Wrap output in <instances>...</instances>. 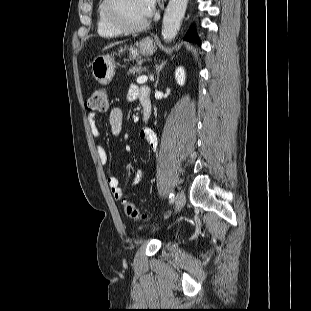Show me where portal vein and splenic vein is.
Wrapping results in <instances>:
<instances>
[{
	"instance_id": "18ae733b",
	"label": "portal vein and splenic vein",
	"mask_w": 311,
	"mask_h": 311,
	"mask_svg": "<svg viewBox=\"0 0 311 311\" xmlns=\"http://www.w3.org/2000/svg\"><path fill=\"white\" fill-rule=\"evenodd\" d=\"M147 80H148V77L146 75H142L138 77L136 81L138 84H144L147 82Z\"/></svg>"
}]
</instances>
